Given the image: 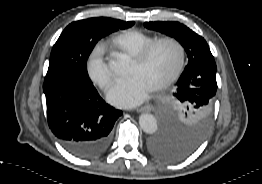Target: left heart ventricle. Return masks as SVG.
Masks as SVG:
<instances>
[{
	"instance_id": "b2bd125f",
	"label": "left heart ventricle",
	"mask_w": 262,
	"mask_h": 184,
	"mask_svg": "<svg viewBox=\"0 0 262 184\" xmlns=\"http://www.w3.org/2000/svg\"><path fill=\"white\" fill-rule=\"evenodd\" d=\"M179 61L178 48L169 42L158 45L142 64L133 61L128 75H138L152 88L164 81L176 68Z\"/></svg>"
}]
</instances>
